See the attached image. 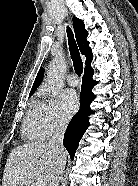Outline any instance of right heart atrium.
I'll return each instance as SVG.
<instances>
[{
    "mask_svg": "<svg viewBox=\"0 0 138 186\" xmlns=\"http://www.w3.org/2000/svg\"><path fill=\"white\" fill-rule=\"evenodd\" d=\"M42 122L48 135L57 133L66 127L67 120L62 116L57 100L49 99L45 102Z\"/></svg>",
    "mask_w": 138,
    "mask_h": 186,
    "instance_id": "d8ad5b80",
    "label": "right heart atrium"
}]
</instances>
